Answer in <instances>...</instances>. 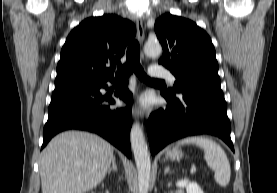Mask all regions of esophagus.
<instances>
[{
	"label": "esophagus",
	"instance_id": "34e87169",
	"mask_svg": "<svg viewBox=\"0 0 277 193\" xmlns=\"http://www.w3.org/2000/svg\"><path fill=\"white\" fill-rule=\"evenodd\" d=\"M136 27H137V35H138V39L140 42L144 41L145 38V31H144V27L142 24V20L140 18H136ZM144 110L139 106V105H135L133 108V116L135 118H144Z\"/></svg>",
	"mask_w": 277,
	"mask_h": 193
}]
</instances>
